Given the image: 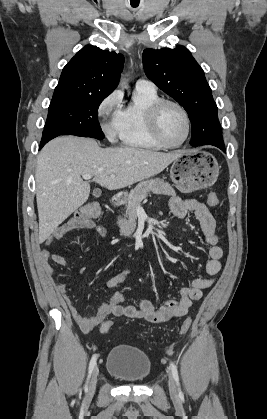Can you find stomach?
I'll list each match as a JSON object with an SVG mask.
<instances>
[{
    "mask_svg": "<svg viewBox=\"0 0 267 419\" xmlns=\"http://www.w3.org/2000/svg\"><path fill=\"white\" fill-rule=\"evenodd\" d=\"M216 158L203 150L184 152L173 161L170 177L182 192H193L212 186L219 175Z\"/></svg>",
    "mask_w": 267,
    "mask_h": 419,
    "instance_id": "obj_1",
    "label": "stomach"
}]
</instances>
